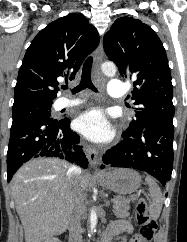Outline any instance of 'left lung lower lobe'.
Wrapping results in <instances>:
<instances>
[{
  "instance_id": "left-lung-lower-lobe-1",
  "label": "left lung lower lobe",
  "mask_w": 187,
  "mask_h": 242,
  "mask_svg": "<svg viewBox=\"0 0 187 242\" xmlns=\"http://www.w3.org/2000/svg\"><path fill=\"white\" fill-rule=\"evenodd\" d=\"M122 137L119 144L103 155L104 165L144 171L167 186L173 168L174 130L152 127L139 132L125 131Z\"/></svg>"
}]
</instances>
